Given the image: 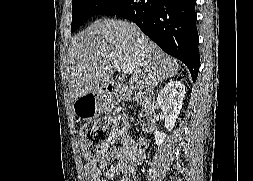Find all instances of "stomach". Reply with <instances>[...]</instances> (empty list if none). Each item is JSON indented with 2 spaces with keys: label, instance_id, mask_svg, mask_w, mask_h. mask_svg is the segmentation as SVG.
Masks as SVG:
<instances>
[{
  "label": "stomach",
  "instance_id": "0dacf381",
  "mask_svg": "<svg viewBox=\"0 0 253 181\" xmlns=\"http://www.w3.org/2000/svg\"><path fill=\"white\" fill-rule=\"evenodd\" d=\"M109 104V95L102 89L92 91L74 102V112L81 119H91L104 112Z\"/></svg>",
  "mask_w": 253,
  "mask_h": 181
}]
</instances>
